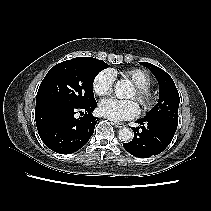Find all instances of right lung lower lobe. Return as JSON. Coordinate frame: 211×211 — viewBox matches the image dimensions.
<instances>
[{
  "mask_svg": "<svg viewBox=\"0 0 211 211\" xmlns=\"http://www.w3.org/2000/svg\"><path fill=\"white\" fill-rule=\"evenodd\" d=\"M96 107V102L86 106L36 105L35 120L40 138L57 153L76 152L93 135L98 118L91 113ZM77 113H80L78 118Z\"/></svg>",
  "mask_w": 211,
  "mask_h": 211,
  "instance_id": "obj_1",
  "label": "right lung lower lobe"
}]
</instances>
